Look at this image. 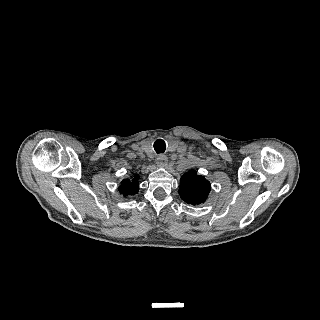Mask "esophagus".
Returning a JSON list of instances; mask_svg holds the SVG:
<instances>
[{"instance_id":"1","label":"esophagus","mask_w":320,"mask_h":320,"mask_svg":"<svg viewBox=\"0 0 320 320\" xmlns=\"http://www.w3.org/2000/svg\"><path fill=\"white\" fill-rule=\"evenodd\" d=\"M167 163H168V158H167V156H165V155H159L158 156V158H157V165L159 166V167H165L166 165H167Z\"/></svg>"}]
</instances>
